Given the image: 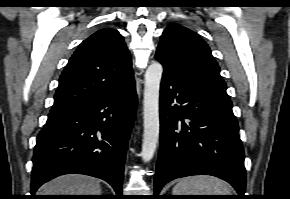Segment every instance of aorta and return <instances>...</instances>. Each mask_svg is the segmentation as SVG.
<instances>
[{"mask_svg": "<svg viewBox=\"0 0 290 199\" xmlns=\"http://www.w3.org/2000/svg\"><path fill=\"white\" fill-rule=\"evenodd\" d=\"M163 67L159 62H153L145 72L144 81V133L141 157L149 162L156 151L159 141V94Z\"/></svg>", "mask_w": 290, "mask_h": 199, "instance_id": "1", "label": "aorta"}]
</instances>
